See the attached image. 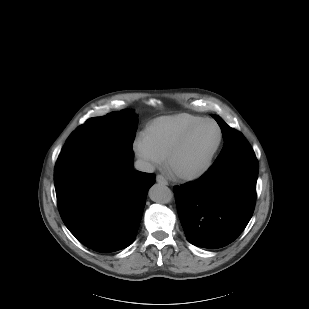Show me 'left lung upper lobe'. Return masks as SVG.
Wrapping results in <instances>:
<instances>
[{"instance_id": "1", "label": "left lung upper lobe", "mask_w": 309, "mask_h": 309, "mask_svg": "<svg viewBox=\"0 0 309 309\" xmlns=\"http://www.w3.org/2000/svg\"><path fill=\"white\" fill-rule=\"evenodd\" d=\"M215 120L218 122L221 127L223 137H224V146L223 149L216 159L215 162L223 160L234 154L252 150L250 144L247 142L245 137L237 130L229 127L219 116L212 115Z\"/></svg>"}]
</instances>
